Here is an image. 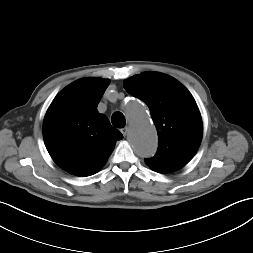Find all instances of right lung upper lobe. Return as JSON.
<instances>
[{
    "mask_svg": "<svg viewBox=\"0 0 253 253\" xmlns=\"http://www.w3.org/2000/svg\"><path fill=\"white\" fill-rule=\"evenodd\" d=\"M109 82L79 79L64 88L47 110L44 142L55 163L68 173L95 174L105 165L116 141L123 138L107 116L97 110Z\"/></svg>",
    "mask_w": 253,
    "mask_h": 253,
    "instance_id": "1",
    "label": "right lung upper lobe"
}]
</instances>
